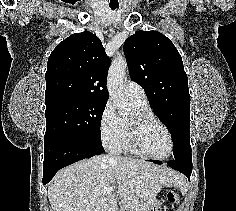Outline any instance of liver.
<instances>
[{
  "instance_id": "1",
  "label": "liver",
  "mask_w": 236,
  "mask_h": 211,
  "mask_svg": "<svg viewBox=\"0 0 236 211\" xmlns=\"http://www.w3.org/2000/svg\"><path fill=\"white\" fill-rule=\"evenodd\" d=\"M175 171L128 157L95 156L59 170L48 186L52 211H147L163 187H178ZM114 187L103 195L106 188Z\"/></svg>"
}]
</instances>
